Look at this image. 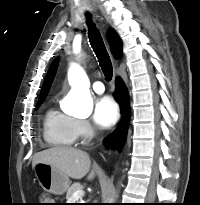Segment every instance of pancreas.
I'll use <instances>...</instances> for the list:
<instances>
[{
  "mask_svg": "<svg viewBox=\"0 0 200 205\" xmlns=\"http://www.w3.org/2000/svg\"><path fill=\"white\" fill-rule=\"evenodd\" d=\"M83 186L80 183H73L67 190L66 199L67 203H71V198L74 192L82 191Z\"/></svg>",
  "mask_w": 200,
  "mask_h": 205,
  "instance_id": "pancreas-1",
  "label": "pancreas"
}]
</instances>
